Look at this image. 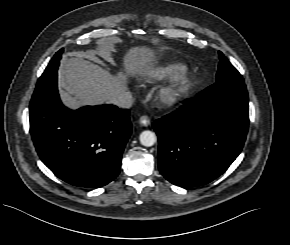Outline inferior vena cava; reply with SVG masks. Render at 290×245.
I'll return each mask as SVG.
<instances>
[{
  "instance_id": "inferior-vena-cava-1",
  "label": "inferior vena cava",
  "mask_w": 290,
  "mask_h": 245,
  "mask_svg": "<svg viewBox=\"0 0 290 245\" xmlns=\"http://www.w3.org/2000/svg\"><path fill=\"white\" fill-rule=\"evenodd\" d=\"M133 102L134 100L131 93L126 91L112 97L109 103L116 105L119 108H130L133 105Z\"/></svg>"
}]
</instances>
